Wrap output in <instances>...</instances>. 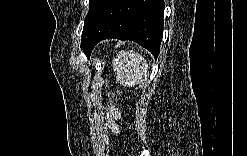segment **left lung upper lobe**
Instances as JSON below:
<instances>
[{
  "label": "left lung upper lobe",
  "mask_w": 247,
  "mask_h": 156,
  "mask_svg": "<svg viewBox=\"0 0 247 156\" xmlns=\"http://www.w3.org/2000/svg\"><path fill=\"white\" fill-rule=\"evenodd\" d=\"M104 0H90L89 1V12L85 18L84 27H83V33H82V42H81V48H85V33L88 29L89 25L93 21L96 12L100 8V6L103 4Z\"/></svg>",
  "instance_id": "1"
}]
</instances>
